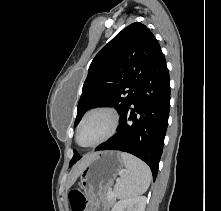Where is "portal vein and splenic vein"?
<instances>
[{
	"label": "portal vein and splenic vein",
	"mask_w": 221,
	"mask_h": 211,
	"mask_svg": "<svg viewBox=\"0 0 221 211\" xmlns=\"http://www.w3.org/2000/svg\"><path fill=\"white\" fill-rule=\"evenodd\" d=\"M107 197L108 198L114 197V193L112 192L111 189L108 190Z\"/></svg>",
	"instance_id": "18ae733b"
}]
</instances>
